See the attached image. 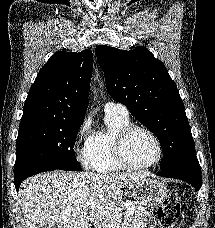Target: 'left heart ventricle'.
<instances>
[{"label": "left heart ventricle", "mask_w": 215, "mask_h": 228, "mask_svg": "<svg viewBox=\"0 0 215 228\" xmlns=\"http://www.w3.org/2000/svg\"><path fill=\"white\" fill-rule=\"evenodd\" d=\"M128 162L140 166L153 161L156 157V147L151 137L141 130H135L128 137L125 147Z\"/></svg>", "instance_id": "1"}]
</instances>
